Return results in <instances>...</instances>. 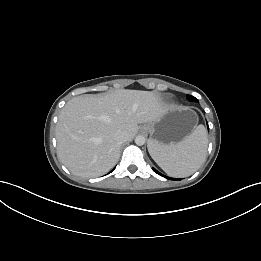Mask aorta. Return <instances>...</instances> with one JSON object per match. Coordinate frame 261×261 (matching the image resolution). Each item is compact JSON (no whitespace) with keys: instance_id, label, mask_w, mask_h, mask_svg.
<instances>
[{"instance_id":"762f6f07","label":"aorta","mask_w":261,"mask_h":261,"mask_svg":"<svg viewBox=\"0 0 261 261\" xmlns=\"http://www.w3.org/2000/svg\"><path fill=\"white\" fill-rule=\"evenodd\" d=\"M145 141H146V139H145V137L142 136V135H138V136H136V138H135V143H136L138 146L144 145V144H145Z\"/></svg>"}]
</instances>
